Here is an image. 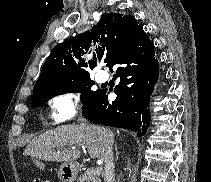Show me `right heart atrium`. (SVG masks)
<instances>
[{
	"instance_id": "right-heart-atrium-1",
	"label": "right heart atrium",
	"mask_w": 211,
	"mask_h": 182,
	"mask_svg": "<svg viewBox=\"0 0 211 182\" xmlns=\"http://www.w3.org/2000/svg\"><path fill=\"white\" fill-rule=\"evenodd\" d=\"M49 119L53 124H62L77 117L81 111L79 95L63 92L52 97L49 102Z\"/></svg>"
}]
</instances>
